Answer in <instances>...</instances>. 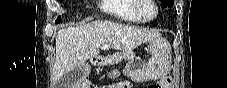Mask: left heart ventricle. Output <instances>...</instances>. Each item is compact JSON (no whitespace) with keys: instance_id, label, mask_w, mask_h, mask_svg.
Segmentation results:
<instances>
[{"instance_id":"b2bd125f","label":"left heart ventricle","mask_w":227,"mask_h":88,"mask_svg":"<svg viewBox=\"0 0 227 88\" xmlns=\"http://www.w3.org/2000/svg\"><path fill=\"white\" fill-rule=\"evenodd\" d=\"M142 13L145 16H151L154 13V9L150 6H145L142 8Z\"/></svg>"}]
</instances>
